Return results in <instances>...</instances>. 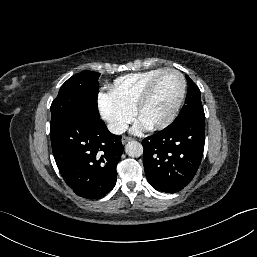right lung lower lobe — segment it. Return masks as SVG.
<instances>
[{
  "label": "right lung lower lobe",
  "instance_id": "98d812e1",
  "mask_svg": "<svg viewBox=\"0 0 257 257\" xmlns=\"http://www.w3.org/2000/svg\"><path fill=\"white\" fill-rule=\"evenodd\" d=\"M60 174L79 196L98 199L116 184V166L124 147L99 119L74 116L50 129Z\"/></svg>",
  "mask_w": 257,
  "mask_h": 257
}]
</instances>
